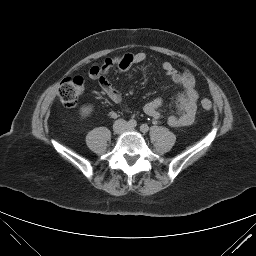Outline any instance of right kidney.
<instances>
[{
    "label": "right kidney",
    "mask_w": 256,
    "mask_h": 256,
    "mask_svg": "<svg viewBox=\"0 0 256 256\" xmlns=\"http://www.w3.org/2000/svg\"><path fill=\"white\" fill-rule=\"evenodd\" d=\"M92 111H93V106L92 105H83L80 108V115H81L82 118H85V117L89 116Z\"/></svg>",
    "instance_id": "right-kidney-1"
}]
</instances>
